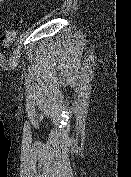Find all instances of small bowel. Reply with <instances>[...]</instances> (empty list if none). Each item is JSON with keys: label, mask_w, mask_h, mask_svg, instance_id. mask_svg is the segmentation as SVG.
I'll return each instance as SVG.
<instances>
[{"label": "small bowel", "mask_w": 131, "mask_h": 177, "mask_svg": "<svg viewBox=\"0 0 131 177\" xmlns=\"http://www.w3.org/2000/svg\"><path fill=\"white\" fill-rule=\"evenodd\" d=\"M4 1H5V0H0V13H1V11H2Z\"/></svg>", "instance_id": "small-bowel-1"}]
</instances>
